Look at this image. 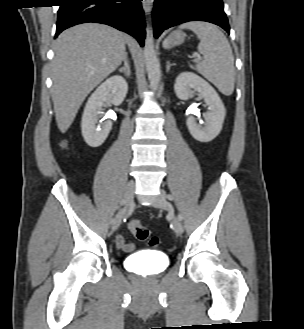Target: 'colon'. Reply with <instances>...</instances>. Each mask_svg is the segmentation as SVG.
I'll return each mask as SVG.
<instances>
[{"instance_id": "colon-1", "label": "colon", "mask_w": 304, "mask_h": 329, "mask_svg": "<svg viewBox=\"0 0 304 329\" xmlns=\"http://www.w3.org/2000/svg\"><path fill=\"white\" fill-rule=\"evenodd\" d=\"M62 146L65 147L66 142H63ZM128 229L137 240L142 242L148 241L151 246H156L158 244V239L156 237H151L149 230L143 226L140 221H129Z\"/></svg>"}]
</instances>
